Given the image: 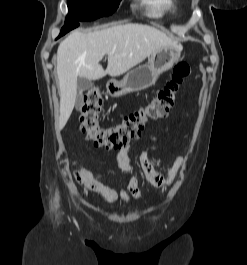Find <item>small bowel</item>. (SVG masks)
Listing matches in <instances>:
<instances>
[{"mask_svg": "<svg viewBox=\"0 0 247 265\" xmlns=\"http://www.w3.org/2000/svg\"><path fill=\"white\" fill-rule=\"evenodd\" d=\"M156 141L157 139L155 137H150L147 146L140 154V164L146 180L157 187L165 189L168 188L170 184L175 180L182 165L183 158L181 156H178L172 167L169 169L167 176L162 175L155 170L148 156V146ZM128 148L129 146L126 145L118 151V158L121 164V169L125 173L132 172V167L127 160ZM74 177L85 190L98 194L108 203H131V199L124 189L121 188L116 191L104 185L102 182L97 180L89 170L85 168L77 170L74 173ZM127 190L134 199H142L143 196L139 186V179L136 176H133L128 182Z\"/></svg>", "mask_w": 247, "mask_h": 265, "instance_id": "obj_1", "label": "small bowel"}]
</instances>
